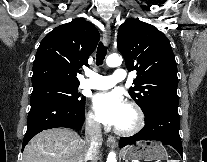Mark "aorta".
I'll list each match as a JSON object with an SVG mask.
<instances>
[{
    "label": "aorta",
    "mask_w": 207,
    "mask_h": 162,
    "mask_svg": "<svg viewBox=\"0 0 207 162\" xmlns=\"http://www.w3.org/2000/svg\"><path fill=\"white\" fill-rule=\"evenodd\" d=\"M122 57L118 54H110L106 59V64L109 67H117L121 65ZM107 162H116V154L115 152H110L107 157Z\"/></svg>",
    "instance_id": "obj_1"
}]
</instances>
